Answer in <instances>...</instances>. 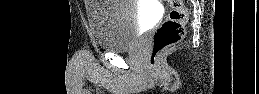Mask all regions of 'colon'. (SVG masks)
<instances>
[{"label": "colon", "mask_w": 259, "mask_h": 94, "mask_svg": "<svg viewBox=\"0 0 259 94\" xmlns=\"http://www.w3.org/2000/svg\"><path fill=\"white\" fill-rule=\"evenodd\" d=\"M170 10L166 20L153 35L149 63L155 66L159 55L179 42L185 34L188 10L182 0H167Z\"/></svg>", "instance_id": "5ec220e1"}]
</instances>
